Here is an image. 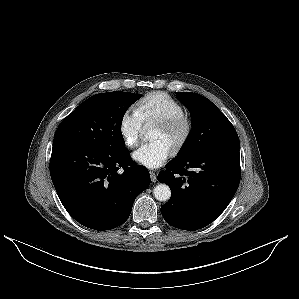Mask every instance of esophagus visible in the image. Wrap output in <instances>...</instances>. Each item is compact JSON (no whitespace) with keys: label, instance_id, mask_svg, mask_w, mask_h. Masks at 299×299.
I'll return each instance as SVG.
<instances>
[{"label":"esophagus","instance_id":"34e87169","mask_svg":"<svg viewBox=\"0 0 299 299\" xmlns=\"http://www.w3.org/2000/svg\"><path fill=\"white\" fill-rule=\"evenodd\" d=\"M149 174H150V177H151V181L156 182L157 181L156 174L153 171H150Z\"/></svg>","mask_w":299,"mask_h":299}]
</instances>
